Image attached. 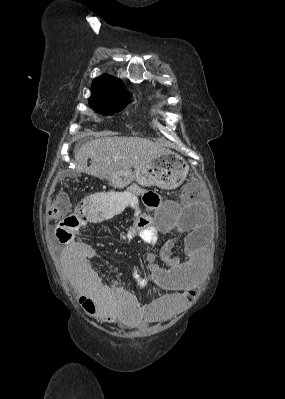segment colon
I'll return each instance as SVG.
<instances>
[{
	"label": "colon",
	"mask_w": 285,
	"mask_h": 399,
	"mask_svg": "<svg viewBox=\"0 0 285 399\" xmlns=\"http://www.w3.org/2000/svg\"><path fill=\"white\" fill-rule=\"evenodd\" d=\"M201 186V180L199 178L193 177L187 181L184 186L183 191L185 193H191L198 190ZM143 201L146 206L154 208L159 205V196L153 192L146 193L143 196ZM47 209L49 216L54 221H62V224L76 222L79 219L74 215H68L69 209V198L66 191H59L54 193L47 203ZM144 225V220L140 219L133 226L129 227L126 232L120 234L119 236L126 241H131L135 237L139 236L141 229ZM60 239L65 242H77L78 238L74 235L72 231H60Z\"/></svg>",
	"instance_id": "obj_1"
}]
</instances>
